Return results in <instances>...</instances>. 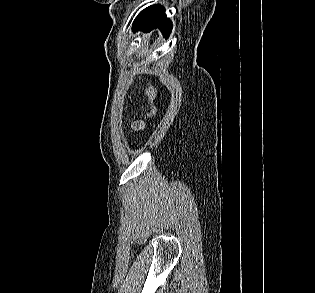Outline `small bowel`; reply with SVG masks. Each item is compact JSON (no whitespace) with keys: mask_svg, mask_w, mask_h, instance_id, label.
I'll use <instances>...</instances> for the list:
<instances>
[{"mask_svg":"<svg viewBox=\"0 0 315 293\" xmlns=\"http://www.w3.org/2000/svg\"><path fill=\"white\" fill-rule=\"evenodd\" d=\"M133 128H134L135 130L141 129V128H142V122H135V123L133 124Z\"/></svg>","mask_w":315,"mask_h":293,"instance_id":"1","label":"small bowel"}]
</instances>
